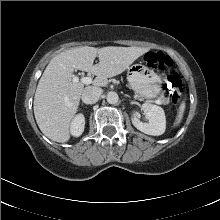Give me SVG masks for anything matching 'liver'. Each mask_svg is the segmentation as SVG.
<instances>
[{
    "instance_id": "liver-1",
    "label": "liver",
    "mask_w": 220,
    "mask_h": 220,
    "mask_svg": "<svg viewBox=\"0 0 220 220\" xmlns=\"http://www.w3.org/2000/svg\"><path fill=\"white\" fill-rule=\"evenodd\" d=\"M144 47L89 46L72 48L56 55L44 70L34 96V115L42 133L65 143L70 139L71 122L84 91L82 82H73L74 70L96 76L94 87H104L108 78L121 74L140 56ZM99 63L93 65L95 58Z\"/></svg>"
}]
</instances>
